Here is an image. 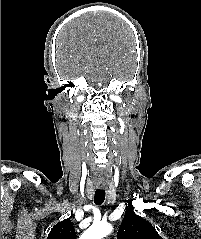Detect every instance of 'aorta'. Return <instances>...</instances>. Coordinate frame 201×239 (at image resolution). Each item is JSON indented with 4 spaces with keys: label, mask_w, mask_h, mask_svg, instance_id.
<instances>
[{
    "label": "aorta",
    "mask_w": 201,
    "mask_h": 239,
    "mask_svg": "<svg viewBox=\"0 0 201 239\" xmlns=\"http://www.w3.org/2000/svg\"><path fill=\"white\" fill-rule=\"evenodd\" d=\"M112 230V225L108 223L93 224L81 235L80 239H103L109 235Z\"/></svg>",
    "instance_id": "762f6f07"
}]
</instances>
